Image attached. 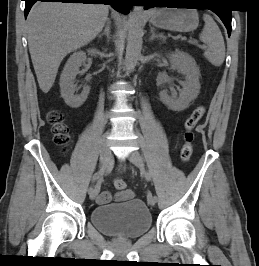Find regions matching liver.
<instances>
[{
    "instance_id": "6515ba94",
    "label": "liver",
    "mask_w": 259,
    "mask_h": 266,
    "mask_svg": "<svg viewBox=\"0 0 259 266\" xmlns=\"http://www.w3.org/2000/svg\"><path fill=\"white\" fill-rule=\"evenodd\" d=\"M103 4L37 2L27 17V39L40 89L52 88L64 57L87 45L103 29Z\"/></svg>"
}]
</instances>
